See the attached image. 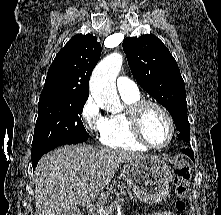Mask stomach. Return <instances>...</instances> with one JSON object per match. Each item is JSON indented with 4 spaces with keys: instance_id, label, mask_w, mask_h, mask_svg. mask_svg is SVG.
<instances>
[{
    "instance_id": "obj_1",
    "label": "stomach",
    "mask_w": 221,
    "mask_h": 215,
    "mask_svg": "<svg viewBox=\"0 0 221 215\" xmlns=\"http://www.w3.org/2000/svg\"><path fill=\"white\" fill-rule=\"evenodd\" d=\"M123 175L136 197L147 204H156L166 198L172 173L159 157H147L124 165Z\"/></svg>"
}]
</instances>
